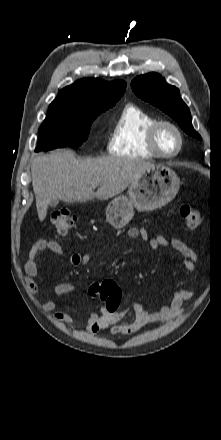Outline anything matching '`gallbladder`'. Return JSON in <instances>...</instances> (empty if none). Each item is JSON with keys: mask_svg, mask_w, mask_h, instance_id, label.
I'll return each instance as SVG.
<instances>
[{"mask_svg": "<svg viewBox=\"0 0 221 440\" xmlns=\"http://www.w3.org/2000/svg\"><path fill=\"white\" fill-rule=\"evenodd\" d=\"M57 204H58V200H52L49 205L51 207H55Z\"/></svg>", "mask_w": 221, "mask_h": 440, "instance_id": "gallbladder-1", "label": "gallbladder"}]
</instances>
